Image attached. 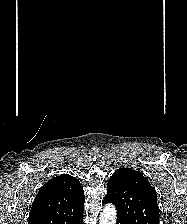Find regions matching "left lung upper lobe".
Returning a JSON list of instances; mask_svg holds the SVG:
<instances>
[{
	"instance_id": "obj_1",
	"label": "left lung upper lobe",
	"mask_w": 187,
	"mask_h": 224,
	"mask_svg": "<svg viewBox=\"0 0 187 224\" xmlns=\"http://www.w3.org/2000/svg\"><path fill=\"white\" fill-rule=\"evenodd\" d=\"M104 202L117 208L123 224H159L155 189L142 173L120 168L110 177Z\"/></svg>"
}]
</instances>
